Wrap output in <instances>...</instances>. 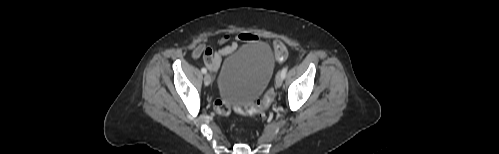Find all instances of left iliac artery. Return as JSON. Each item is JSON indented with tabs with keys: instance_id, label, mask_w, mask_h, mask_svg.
I'll return each instance as SVG.
<instances>
[{
	"instance_id": "obj_1",
	"label": "left iliac artery",
	"mask_w": 499,
	"mask_h": 154,
	"mask_svg": "<svg viewBox=\"0 0 499 154\" xmlns=\"http://www.w3.org/2000/svg\"><path fill=\"white\" fill-rule=\"evenodd\" d=\"M287 70H288V67L286 66V67H284V68L282 69V71H281V76L283 77V79H284V78H285V76H286Z\"/></svg>"
}]
</instances>
